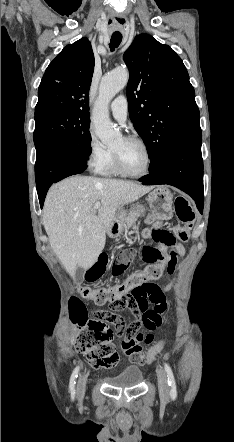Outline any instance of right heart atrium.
<instances>
[{"label": "right heart atrium", "instance_id": "right-heart-atrium-1", "mask_svg": "<svg viewBox=\"0 0 234 442\" xmlns=\"http://www.w3.org/2000/svg\"><path fill=\"white\" fill-rule=\"evenodd\" d=\"M109 150L100 142L92 129L88 132L87 165L93 172H100L105 165Z\"/></svg>", "mask_w": 234, "mask_h": 442}]
</instances>
